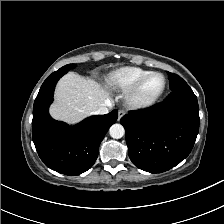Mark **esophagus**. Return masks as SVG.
Here are the masks:
<instances>
[{"mask_svg": "<svg viewBox=\"0 0 224 224\" xmlns=\"http://www.w3.org/2000/svg\"><path fill=\"white\" fill-rule=\"evenodd\" d=\"M125 111L124 110H119L118 112V121L125 115Z\"/></svg>", "mask_w": 224, "mask_h": 224, "instance_id": "34e87169", "label": "esophagus"}]
</instances>
